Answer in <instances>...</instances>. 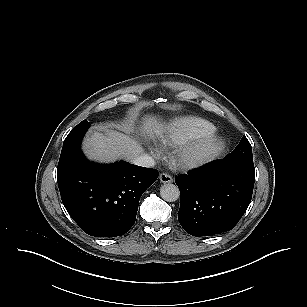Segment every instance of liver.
Returning <instances> with one entry per match:
<instances>
[{
	"label": "liver",
	"instance_id": "obj_1",
	"mask_svg": "<svg viewBox=\"0 0 307 307\" xmlns=\"http://www.w3.org/2000/svg\"><path fill=\"white\" fill-rule=\"evenodd\" d=\"M140 130L144 136L153 138L154 135L161 136L165 128L155 116H149ZM83 148L89 159L101 162H112L117 158L132 161L144 151L136 138L108 128L103 132L93 131L85 138Z\"/></svg>",
	"mask_w": 307,
	"mask_h": 307
}]
</instances>
